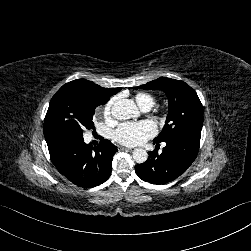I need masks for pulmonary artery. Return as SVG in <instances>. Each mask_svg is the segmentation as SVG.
<instances>
[{"label": "pulmonary artery", "instance_id": "e3ab8cb5", "mask_svg": "<svg viewBox=\"0 0 251 251\" xmlns=\"http://www.w3.org/2000/svg\"><path fill=\"white\" fill-rule=\"evenodd\" d=\"M144 111H148L149 109H143Z\"/></svg>", "mask_w": 251, "mask_h": 251}]
</instances>
